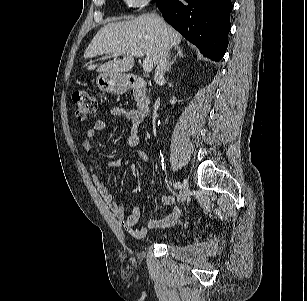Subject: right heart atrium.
Wrapping results in <instances>:
<instances>
[{
  "mask_svg": "<svg viewBox=\"0 0 307 301\" xmlns=\"http://www.w3.org/2000/svg\"><path fill=\"white\" fill-rule=\"evenodd\" d=\"M150 0H125L126 4L131 8H140L149 3Z\"/></svg>",
  "mask_w": 307,
  "mask_h": 301,
  "instance_id": "right-heart-atrium-1",
  "label": "right heart atrium"
}]
</instances>
